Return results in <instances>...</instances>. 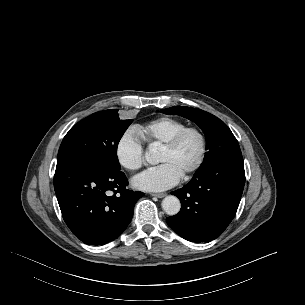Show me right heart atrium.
<instances>
[{
  "mask_svg": "<svg viewBox=\"0 0 305 305\" xmlns=\"http://www.w3.org/2000/svg\"><path fill=\"white\" fill-rule=\"evenodd\" d=\"M118 163L128 171H137L144 164V145L135 130L124 132L115 147Z\"/></svg>",
  "mask_w": 305,
  "mask_h": 305,
  "instance_id": "d8ad5b80",
  "label": "right heart atrium"
}]
</instances>
